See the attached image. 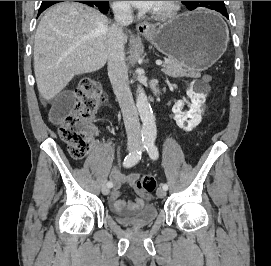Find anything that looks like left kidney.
I'll list each match as a JSON object with an SVG mask.
<instances>
[{"label": "left kidney", "mask_w": 271, "mask_h": 266, "mask_svg": "<svg viewBox=\"0 0 271 266\" xmlns=\"http://www.w3.org/2000/svg\"><path fill=\"white\" fill-rule=\"evenodd\" d=\"M187 95L191 100L190 110L186 113L182 112L183 103L182 101H178L173 106L172 112L177 126L186 132H190L199 125L202 120L201 107L205 102L206 95L197 93L193 89L188 90Z\"/></svg>", "instance_id": "left-kidney-1"}]
</instances>
